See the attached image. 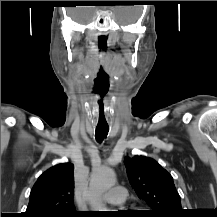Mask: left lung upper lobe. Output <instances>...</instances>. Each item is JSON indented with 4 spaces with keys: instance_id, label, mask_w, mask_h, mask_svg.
<instances>
[{
    "instance_id": "left-lung-upper-lobe-1",
    "label": "left lung upper lobe",
    "mask_w": 217,
    "mask_h": 217,
    "mask_svg": "<svg viewBox=\"0 0 217 217\" xmlns=\"http://www.w3.org/2000/svg\"><path fill=\"white\" fill-rule=\"evenodd\" d=\"M128 179L137 195L152 208L151 217H182L180 196L172 176L154 159L145 156L125 158Z\"/></svg>"
}]
</instances>
